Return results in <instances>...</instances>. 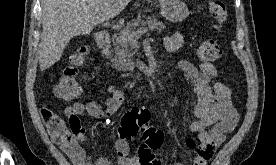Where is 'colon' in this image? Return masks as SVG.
Returning <instances> with one entry per match:
<instances>
[{"instance_id":"obj_1","label":"colon","mask_w":276,"mask_h":165,"mask_svg":"<svg viewBox=\"0 0 276 165\" xmlns=\"http://www.w3.org/2000/svg\"><path fill=\"white\" fill-rule=\"evenodd\" d=\"M208 8L215 21L214 30L220 32L227 21V7L221 0H211ZM221 53L219 44L213 39L203 41L198 48V56L204 62L218 60ZM89 55L88 48L83 47L71 57L69 65L66 66L54 86L56 97L70 101L80 95L79 68L89 59ZM40 110H43V107ZM45 117L50 123V135L57 143L65 145L76 140L77 126L67 127L54 112L45 113ZM150 120L151 113L147 108L134 107L130 109L122 117L118 128V138L131 140L141 134V144L138 150L140 153L145 154L159 149L163 144L164 135L160 129L150 126ZM199 141V138H189L187 145L194 148Z\"/></svg>"}]
</instances>
